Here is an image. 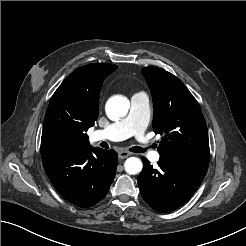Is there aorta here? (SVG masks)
Here are the masks:
<instances>
[{
    "instance_id": "aorta-1",
    "label": "aorta",
    "mask_w": 246,
    "mask_h": 246,
    "mask_svg": "<svg viewBox=\"0 0 246 246\" xmlns=\"http://www.w3.org/2000/svg\"><path fill=\"white\" fill-rule=\"evenodd\" d=\"M130 104L129 100L123 96H114L106 103V113L112 119L123 118L127 115ZM125 171L130 175L138 174L142 171L143 164L137 157H129L124 163Z\"/></svg>"
}]
</instances>
